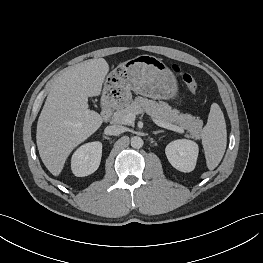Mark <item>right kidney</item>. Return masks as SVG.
I'll return each mask as SVG.
<instances>
[{
  "instance_id": "1",
  "label": "right kidney",
  "mask_w": 263,
  "mask_h": 263,
  "mask_svg": "<svg viewBox=\"0 0 263 263\" xmlns=\"http://www.w3.org/2000/svg\"><path fill=\"white\" fill-rule=\"evenodd\" d=\"M102 143L99 141L80 146L72 155L71 169L75 176L84 177L94 173L101 161Z\"/></svg>"
}]
</instances>
